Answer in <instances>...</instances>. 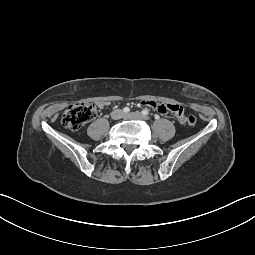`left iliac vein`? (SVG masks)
<instances>
[{"label":"left iliac vein","mask_w":255,"mask_h":255,"mask_svg":"<svg viewBox=\"0 0 255 255\" xmlns=\"http://www.w3.org/2000/svg\"><path fill=\"white\" fill-rule=\"evenodd\" d=\"M125 118L130 120H141V119H146V116L140 112H132V113L126 114Z\"/></svg>","instance_id":"obj_1"}]
</instances>
